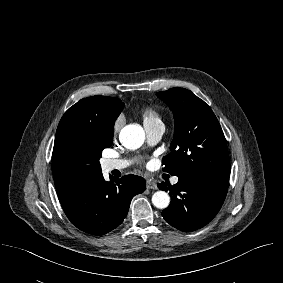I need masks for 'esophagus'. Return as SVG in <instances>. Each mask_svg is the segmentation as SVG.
<instances>
[{"label": "esophagus", "instance_id": "esophagus-1", "mask_svg": "<svg viewBox=\"0 0 283 283\" xmlns=\"http://www.w3.org/2000/svg\"><path fill=\"white\" fill-rule=\"evenodd\" d=\"M146 187L147 189L155 190L157 189V184L153 180H147Z\"/></svg>", "mask_w": 283, "mask_h": 283}]
</instances>
